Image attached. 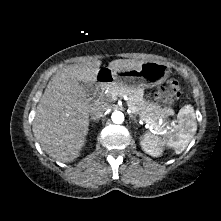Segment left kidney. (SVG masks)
Here are the masks:
<instances>
[{
    "instance_id": "obj_1",
    "label": "left kidney",
    "mask_w": 221,
    "mask_h": 221,
    "mask_svg": "<svg viewBox=\"0 0 221 221\" xmlns=\"http://www.w3.org/2000/svg\"><path fill=\"white\" fill-rule=\"evenodd\" d=\"M142 149L153 157H158L162 153V148L159 143H153L147 139H143L141 142Z\"/></svg>"
}]
</instances>
